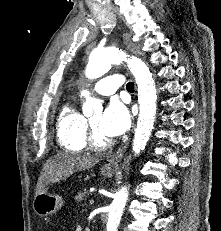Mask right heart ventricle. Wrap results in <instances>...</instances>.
<instances>
[{"mask_svg":"<svg viewBox=\"0 0 221 231\" xmlns=\"http://www.w3.org/2000/svg\"><path fill=\"white\" fill-rule=\"evenodd\" d=\"M85 120L74 103L62 107L56 121L57 141L61 148L71 152H82L87 148Z\"/></svg>","mask_w":221,"mask_h":231,"instance_id":"1","label":"right heart ventricle"}]
</instances>
